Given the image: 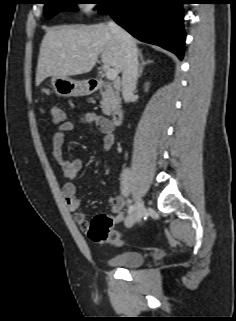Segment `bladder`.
<instances>
[{
	"mask_svg": "<svg viewBox=\"0 0 236 321\" xmlns=\"http://www.w3.org/2000/svg\"><path fill=\"white\" fill-rule=\"evenodd\" d=\"M145 260V255L141 251H127L107 259V263L120 268H137Z\"/></svg>",
	"mask_w": 236,
	"mask_h": 321,
	"instance_id": "obj_1",
	"label": "bladder"
}]
</instances>
